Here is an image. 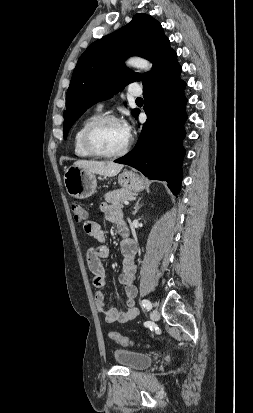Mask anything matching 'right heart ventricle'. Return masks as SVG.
<instances>
[{"mask_svg": "<svg viewBox=\"0 0 253 413\" xmlns=\"http://www.w3.org/2000/svg\"><path fill=\"white\" fill-rule=\"evenodd\" d=\"M98 116H100L99 111H96L94 113L87 115L78 123V125L75 128L73 138H72L73 150H74L75 155L80 158L92 157V155L85 150L82 144V133L85 127Z\"/></svg>", "mask_w": 253, "mask_h": 413, "instance_id": "obj_1", "label": "right heart ventricle"}]
</instances>
